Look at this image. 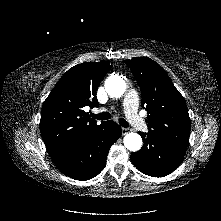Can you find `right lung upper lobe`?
Segmentation results:
<instances>
[{
    "label": "right lung upper lobe",
    "instance_id": "cb5924a9",
    "mask_svg": "<svg viewBox=\"0 0 221 221\" xmlns=\"http://www.w3.org/2000/svg\"><path fill=\"white\" fill-rule=\"evenodd\" d=\"M111 68L109 61L85 62L70 68L43 103L41 134L52 159L77 146L100 125L83 107H98L96 91Z\"/></svg>",
    "mask_w": 221,
    "mask_h": 221
}]
</instances>
